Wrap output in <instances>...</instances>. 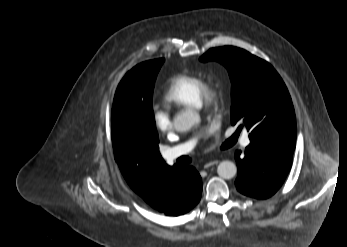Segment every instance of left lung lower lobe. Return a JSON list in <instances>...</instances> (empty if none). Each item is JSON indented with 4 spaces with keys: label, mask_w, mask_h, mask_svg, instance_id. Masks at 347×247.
<instances>
[{
    "label": "left lung lower lobe",
    "mask_w": 347,
    "mask_h": 247,
    "mask_svg": "<svg viewBox=\"0 0 347 247\" xmlns=\"http://www.w3.org/2000/svg\"><path fill=\"white\" fill-rule=\"evenodd\" d=\"M295 145L285 142H251L244 155L235 152L236 188L244 195L266 199L282 186L292 165Z\"/></svg>",
    "instance_id": "1"
}]
</instances>
